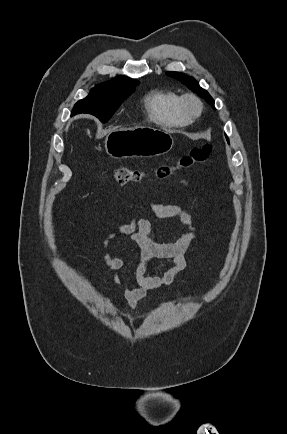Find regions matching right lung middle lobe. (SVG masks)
<instances>
[{
    "label": "right lung middle lobe",
    "instance_id": "obj_1",
    "mask_svg": "<svg viewBox=\"0 0 287 434\" xmlns=\"http://www.w3.org/2000/svg\"><path fill=\"white\" fill-rule=\"evenodd\" d=\"M138 84L135 82L122 85L109 83L97 85L86 98L75 104L72 115L90 113L102 122H107Z\"/></svg>",
    "mask_w": 287,
    "mask_h": 434
}]
</instances>
